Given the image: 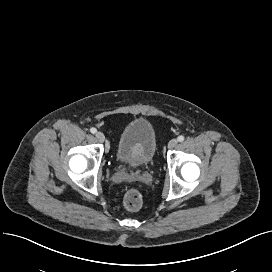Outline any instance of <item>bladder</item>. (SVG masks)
<instances>
[{"label":"bladder","instance_id":"obj_1","mask_svg":"<svg viewBox=\"0 0 272 272\" xmlns=\"http://www.w3.org/2000/svg\"><path fill=\"white\" fill-rule=\"evenodd\" d=\"M157 150V136L151 122L143 117L130 121L120 134L116 157L124 164L146 166Z\"/></svg>","mask_w":272,"mask_h":272}]
</instances>
